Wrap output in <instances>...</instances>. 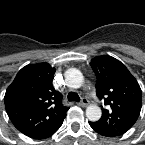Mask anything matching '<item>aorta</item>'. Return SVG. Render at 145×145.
Listing matches in <instances>:
<instances>
[{
    "label": "aorta",
    "mask_w": 145,
    "mask_h": 145,
    "mask_svg": "<svg viewBox=\"0 0 145 145\" xmlns=\"http://www.w3.org/2000/svg\"><path fill=\"white\" fill-rule=\"evenodd\" d=\"M66 85L73 89H78L84 82L83 74L76 68L68 69L65 73ZM102 111L96 104H91L86 108V116L90 121H98Z\"/></svg>",
    "instance_id": "aorta-1"
}]
</instances>
